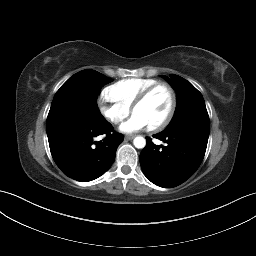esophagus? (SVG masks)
Listing matches in <instances>:
<instances>
[{
    "mask_svg": "<svg viewBox=\"0 0 256 256\" xmlns=\"http://www.w3.org/2000/svg\"><path fill=\"white\" fill-rule=\"evenodd\" d=\"M135 137V135H126L125 140H132Z\"/></svg>",
    "mask_w": 256,
    "mask_h": 256,
    "instance_id": "obj_1",
    "label": "esophagus"
}]
</instances>
